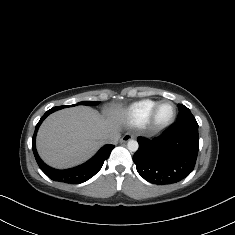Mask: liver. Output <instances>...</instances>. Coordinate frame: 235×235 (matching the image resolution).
I'll use <instances>...</instances> for the list:
<instances>
[{"label":"liver","mask_w":235,"mask_h":235,"mask_svg":"<svg viewBox=\"0 0 235 235\" xmlns=\"http://www.w3.org/2000/svg\"><path fill=\"white\" fill-rule=\"evenodd\" d=\"M120 115L112 110L105 119L90 107L64 109L50 115L37 137L39 154L46 163L66 168L88 159L104 143L103 136L119 130Z\"/></svg>","instance_id":"6515ba94"}]
</instances>
